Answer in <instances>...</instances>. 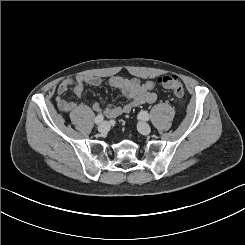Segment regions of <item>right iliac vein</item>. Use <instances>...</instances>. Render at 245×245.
<instances>
[{"instance_id": "63e3f726", "label": "right iliac vein", "mask_w": 245, "mask_h": 245, "mask_svg": "<svg viewBox=\"0 0 245 245\" xmlns=\"http://www.w3.org/2000/svg\"><path fill=\"white\" fill-rule=\"evenodd\" d=\"M110 129V125L108 122L104 121L98 126V131L101 133L107 132Z\"/></svg>"}]
</instances>
